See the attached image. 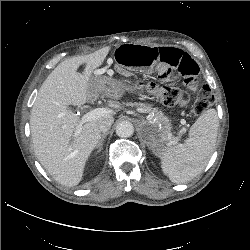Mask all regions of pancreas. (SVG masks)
I'll return each mask as SVG.
<instances>
[{"instance_id": "pancreas-1", "label": "pancreas", "mask_w": 250, "mask_h": 250, "mask_svg": "<svg viewBox=\"0 0 250 250\" xmlns=\"http://www.w3.org/2000/svg\"><path fill=\"white\" fill-rule=\"evenodd\" d=\"M128 105H135L138 108L151 112L157 119H164L162 112L158 111L156 108H152L151 105L144 103H128Z\"/></svg>"}]
</instances>
